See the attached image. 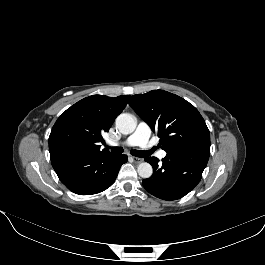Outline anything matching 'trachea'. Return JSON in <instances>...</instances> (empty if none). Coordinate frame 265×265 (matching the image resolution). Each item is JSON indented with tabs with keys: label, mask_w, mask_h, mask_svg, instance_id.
<instances>
[{
	"label": "trachea",
	"mask_w": 265,
	"mask_h": 265,
	"mask_svg": "<svg viewBox=\"0 0 265 265\" xmlns=\"http://www.w3.org/2000/svg\"><path fill=\"white\" fill-rule=\"evenodd\" d=\"M108 149H111V152L113 153H117L120 154L123 152V148L122 147H109ZM155 150V148H153V151ZM152 153V151H142V150H131V154L136 156V157H147Z\"/></svg>",
	"instance_id": "3493384b"
}]
</instances>
